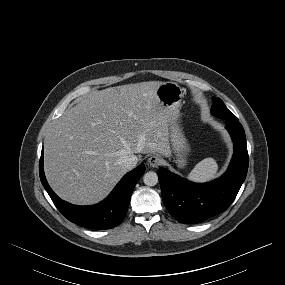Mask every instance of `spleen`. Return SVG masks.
I'll return each mask as SVG.
<instances>
[{
    "mask_svg": "<svg viewBox=\"0 0 285 285\" xmlns=\"http://www.w3.org/2000/svg\"><path fill=\"white\" fill-rule=\"evenodd\" d=\"M217 171L216 161L213 158H205L194 167L187 178L194 182H207L216 177Z\"/></svg>",
    "mask_w": 285,
    "mask_h": 285,
    "instance_id": "3e777b00",
    "label": "spleen"
}]
</instances>
